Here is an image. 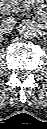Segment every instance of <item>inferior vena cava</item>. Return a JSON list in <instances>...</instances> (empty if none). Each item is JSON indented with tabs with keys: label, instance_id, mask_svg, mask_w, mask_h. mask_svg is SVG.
<instances>
[{
	"label": "inferior vena cava",
	"instance_id": "inferior-vena-cava-1",
	"mask_svg": "<svg viewBox=\"0 0 47 129\" xmlns=\"http://www.w3.org/2000/svg\"><path fill=\"white\" fill-rule=\"evenodd\" d=\"M17 21L13 17H8L7 19H4L1 23V31L5 33H9L13 30L15 27Z\"/></svg>",
	"mask_w": 47,
	"mask_h": 129
}]
</instances>
